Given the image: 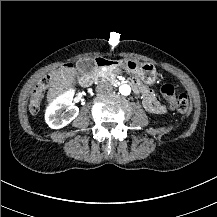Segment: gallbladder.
I'll use <instances>...</instances> for the list:
<instances>
[{"instance_id":"1","label":"gallbladder","mask_w":217,"mask_h":217,"mask_svg":"<svg viewBox=\"0 0 217 217\" xmlns=\"http://www.w3.org/2000/svg\"><path fill=\"white\" fill-rule=\"evenodd\" d=\"M79 67L83 69L84 71H88L91 73L93 72V70H95L96 64L93 59H86V60L81 61V63L79 64Z\"/></svg>"}]
</instances>
